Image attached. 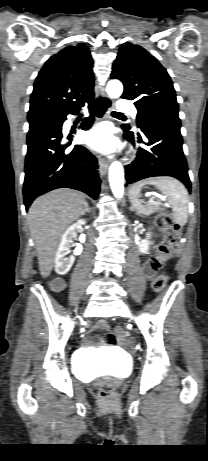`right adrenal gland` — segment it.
Returning <instances> with one entry per match:
<instances>
[{"label": "right adrenal gland", "instance_id": "2a0ac1e0", "mask_svg": "<svg viewBox=\"0 0 208 461\" xmlns=\"http://www.w3.org/2000/svg\"><path fill=\"white\" fill-rule=\"evenodd\" d=\"M85 212H87V213H90V212H91V209H90V207L88 206V204H86V210H85Z\"/></svg>", "mask_w": 208, "mask_h": 461}]
</instances>
